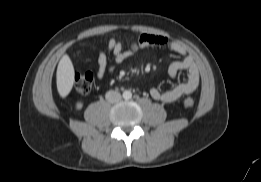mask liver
I'll return each mask as SVG.
<instances>
[{"label": "liver", "instance_id": "liver-1", "mask_svg": "<svg viewBox=\"0 0 261 182\" xmlns=\"http://www.w3.org/2000/svg\"><path fill=\"white\" fill-rule=\"evenodd\" d=\"M56 83L58 93L62 98L66 97L72 90L74 84V67L67 54H64L58 63Z\"/></svg>", "mask_w": 261, "mask_h": 182}]
</instances>
